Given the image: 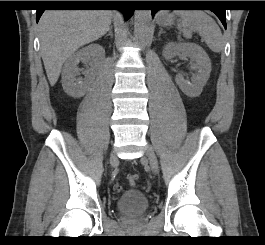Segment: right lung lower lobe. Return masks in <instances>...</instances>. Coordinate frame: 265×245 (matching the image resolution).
<instances>
[{"instance_id": "right-lung-lower-lobe-1", "label": "right lung lower lobe", "mask_w": 265, "mask_h": 245, "mask_svg": "<svg viewBox=\"0 0 265 245\" xmlns=\"http://www.w3.org/2000/svg\"><path fill=\"white\" fill-rule=\"evenodd\" d=\"M54 6H70V5L66 3H55ZM77 6L79 7H96V6L115 7L117 8L116 10H119L124 14L126 20L132 16L133 11H134L131 5L128 3V1H84L78 4ZM43 12H44V9L37 10V15H36L37 22L40 19Z\"/></svg>"}]
</instances>
